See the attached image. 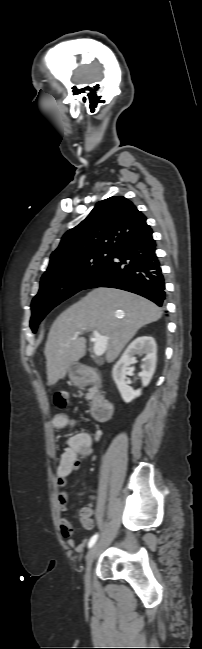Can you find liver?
<instances>
[{
	"label": "liver",
	"mask_w": 202,
	"mask_h": 649,
	"mask_svg": "<svg viewBox=\"0 0 202 649\" xmlns=\"http://www.w3.org/2000/svg\"><path fill=\"white\" fill-rule=\"evenodd\" d=\"M162 310L137 294L96 288L63 311L52 324L44 354L47 380L55 385L84 355L86 340L76 332L96 330L106 338V359L115 360L142 326L157 321Z\"/></svg>",
	"instance_id": "6515ba94"
}]
</instances>
